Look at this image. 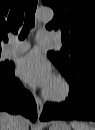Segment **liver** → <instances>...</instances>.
Here are the masks:
<instances>
[{
	"label": "liver",
	"mask_w": 95,
	"mask_h": 130,
	"mask_svg": "<svg viewBox=\"0 0 95 130\" xmlns=\"http://www.w3.org/2000/svg\"><path fill=\"white\" fill-rule=\"evenodd\" d=\"M20 130H29V121L22 118ZM14 116L7 112L0 113V130H15Z\"/></svg>",
	"instance_id": "1"
}]
</instances>
